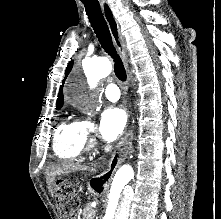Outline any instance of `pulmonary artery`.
<instances>
[{
  "label": "pulmonary artery",
  "mask_w": 221,
  "mask_h": 219,
  "mask_svg": "<svg viewBox=\"0 0 221 219\" xmlns=\"http://www.w3.org/2000/svg\"><path fill=\"white\" fill-rule=\"evenodd\" d=\"M105 96L110 101H117L120 98V91L117 85L109 84L104 90Z\"/></svg>",
  "instance_id": "pulmonary-artery-1"
}]
</instances>
